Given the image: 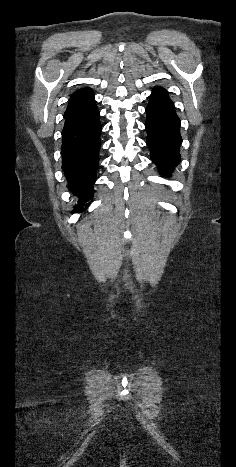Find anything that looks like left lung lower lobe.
Returning a JSON list of instances; mask_svg holds the SVG:
<instances>
[{
	"label": "left lung lower lobe",
	"mask_w": 236,
	"mask_h": 467,
	"mask_svg": "<svg viewBox=\"0 0 236 467\" xmlns=\"http://www.w3.org/2000/svg\"><path fill=\"white\" fill-rule=\"evenodd\" d=\"M146 113V142L151 151V159L162 175L170 177L174 167L180 162L182 138L180 119L165 89L157 87L153 90Z\"/></svg>",
	"instance_id": "1"
}]
</instances>
